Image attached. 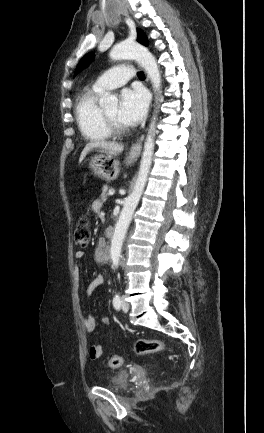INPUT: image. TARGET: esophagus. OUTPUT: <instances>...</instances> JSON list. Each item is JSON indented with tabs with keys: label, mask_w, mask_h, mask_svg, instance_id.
Wrapping results in <instances>:
<instances>
[{
	"label": "esophagus",
	"mask_w": 264,
	"mask_h": 433,
	"mask_svg": "<svg viewBox=\"0 0 264 433\" xmlns=\"http://www.w3.org/2000/svg\"><path fill=\"white\" fill-rule=\"evenodd\" d=\"M147 81H148V78H147ZM143 140H144V135H142L135 143L132 144L130 151H129V154H128L129 160H135L139 156L141 149H142Z\"/></svg>",
	"instance_id": "1"
}]
</instances>
